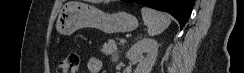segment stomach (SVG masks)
<instances>
[{
  "label": "stomach",
  "mask_w": 244,
  "mask_h": 73,
  "mask_svg": "<svg viewBox=\"0 0 244 73\" xmlns=\"http://www.w3.org/2000/svg\"><path fill=\"white\" fill-rule=\"evenodd\" d=\"M55 27L60 35H71L84 27L107 34L127 33L138 27V20L126 12L107 13L86 3L69 1L61 8Z\"/></svg>",
  "instance_id": "1"
}]
</instances>
